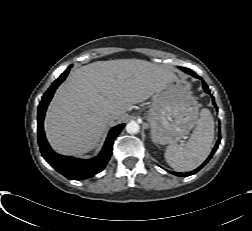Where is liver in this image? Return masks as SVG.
<instances>
[{"label": "liver", "mask_w": 252, "mask_h": 231, "mask_svg": "<svg viewBox=\"0 0 252 231\" xmlns=\"http://www.w3.org/2000/svg\"><path fill=\"white\" fill-rule=\"evenodd\" d=\"M174 78L171 70L139 59L97 61L77 68L48 107L47 139L61 154L83 155L94 149L110 120L123 118L133 104L149 99Z\"/></svg>", "instance_id": "1"}]
</instances>
